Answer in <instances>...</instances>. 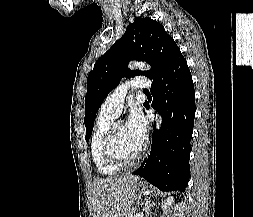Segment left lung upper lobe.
Instances as JSON below:
<instances>
[{"label": "left lung upper lobe", "instance_id": "5c2ea615", "mask_svg": "<svg viewBox=\"0 0 253 217\" xmlns=\"http://www.w3.org/2000/svg\"><path fill=\"white\" fill-rule=\"evenodd\" d=\"M180 53L175 41L160 23L148 17H137L127 27L122 38L96 61L88 75L84 117L86 141L92 134L100 105L120 83L122 77L130 78L143 74L154 81ZM135 59L146 61L152 70L131 71L127 64Z\"/></svg>", "mask_w": 253, "mask_h": 217}]
</instances>
